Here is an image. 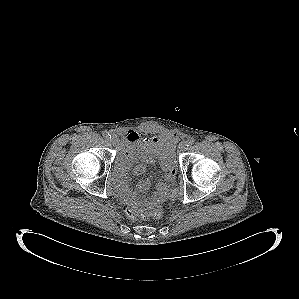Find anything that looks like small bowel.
<instances>
[{"mask_svg": "<svg viewBox=\"0 0 299 299\" xmlns=\"http://www.w3.org/2000/svg\"><path fill=\"white\" fill-rule=\"evenodd\" d=\"M125 145L120 156V192L126 199H134L133 192L127 184V173L132 165L135 175L143 174L147 166L152 164L155 157L165 175L162 181L157 184L152 196V201L159 203L166 197L169 187L176 174V159L172 153H163L159 150V143L173 145L176 137L173 135L145 136L135 131H128L124 135ZM150 186L149 179H143L138 183V190L146 191Z\"/></svg>", "mask_w": 299, "mask_h": 299, "instance_id": "obj_1", "label": "small bowel"}]
</instances>
